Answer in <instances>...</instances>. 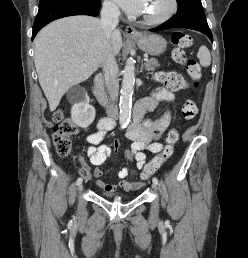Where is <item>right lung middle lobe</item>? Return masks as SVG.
I'll return each mask as SVG.
<instances>
[{"label": "right lung middle lobe", "instance_id": "dd1d6c3e", "mask_svg": "<svg viewBox=\"0 0 248 258\" xmlns=\"http://www.w3.org/2000/svg\"><path fill=\"white\" fill-rule=\"evenodd\" d=\"M49 1H51V0H40L39 5H41L43 3H46V2H49Z\"/></svg>", "mask_w": 248, "mask_h": 258}]
</instances>
